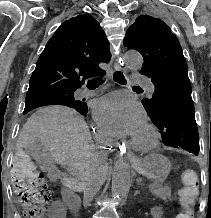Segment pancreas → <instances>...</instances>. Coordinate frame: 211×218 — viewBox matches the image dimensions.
<instances>
[{
  "mask_svg": "<svg viewBox=\"0 0 211 218\" xmlns=\"http://www.w3.org/2000/svg\"><path fill=\"white\" fill-rule=\"evenodd\" d=\"M150 190L152 194H155V196H159L161 200H165L167 202L168 200H171V190L168 188V186H161V184H152L150 186ZM72 204H77V199H72Z\"/></svg>",
  "mask_w": 211,
  "mask_h": 218,
  "instance_id": "pancreas-1",
  "label": "pancreas"
}]
</instances>
